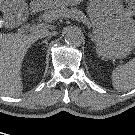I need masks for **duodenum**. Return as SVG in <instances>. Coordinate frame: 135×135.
<instances>
[{"label":"duodenum","instance_id":"1","mask_svg":"<svg viewBox=\"0 0 135 135\" xmlns=\"http://www.w3.org/2000/svg\"><path fill=\"white\" fill-rule=\"evenodd\" d=\"M24 27H26V25H22V26H20V27H19V29H22V28H24Z\"/></svg>","mask_w":135,"mask_h":135}]
</instances>
